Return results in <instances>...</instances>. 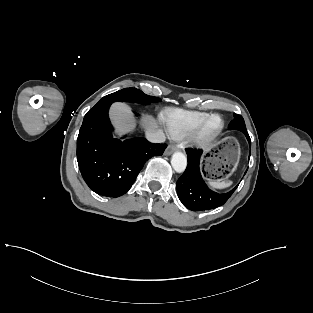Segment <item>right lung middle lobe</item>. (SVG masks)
I'll list each match as a JSON object with an SVG mask.
<instances>
[{
	"label": "right lung middle lobe",
	"mask_w": 313,
	"mask_h": 313,
	"mask_svg": "<svg viewBox=\"0 0 313 313\" xmlns=\"http://www.w3.org/2000/svg\"><path fill=\"white\" fill-rule=\"evenodd\" d=\"M159 100L160 99L158 97L148 96L139 89L125 88L115 93L104 96L98 103L103 102L113 103L115 101H121V102H139L149 104L152 102H158Z\"/></svg>",
	"instance_id": "1"
}]
</instances>
